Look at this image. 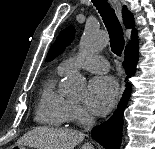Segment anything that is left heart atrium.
Returning a JSON list of instances; mask_svg holds the SVG:
<instances>
[{
  "instance_id": "obj_1",
  "label": "left heart atrium",
  "mask_w": 155,
  "mask_h": 149,
  "mask_svg": "<svg viewBox=\"0 0 155 149\" xmlns=\"http://www.w3.org/2000/svg\"><path fill=\"white\" fill-rule=\"evenodd\" d=\"M118 85L108 76L93 78L88 85L85 105L96 115L107 114L114 106L118 97Z\"/></svg>"
}]
</instances>
